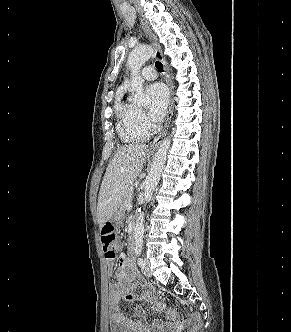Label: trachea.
<instances>
[{
    "instance_id": "1",
    "label": "trachea",
    "mask_w": 291,
    "mask_h": 332,
    "mask_svg": "<svg viewBox=\"0 0 291 332\" xmlns=\"http://www.w3.org/2000/svg\"><path fill=\"white\" fill-rule=\"evenodd\" d=\"M155 66H156V68H157L159 71H161V72L163 71V65H162L161 62H159V61L156 62V63H155Z\"/></svg>"
}]
</instances>
